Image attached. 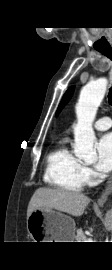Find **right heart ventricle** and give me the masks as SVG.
<instances>
[{"label":"right heart ventricle","mask_w":112,"mask_h":270,"mask_svg":"<svg viewBox=\"0 0 112 270\" xmlns=\"http://www.w3.org/2000/svg\"><path fill=\"white\" fill-rule=\"evenodd\" d=\"M82 168L81 160L63 141L47 156L44 181L59 190L80 192L85 184Z\"/></svg>","instance_id":"right-heart-ventricle-1"}]
</instances>
